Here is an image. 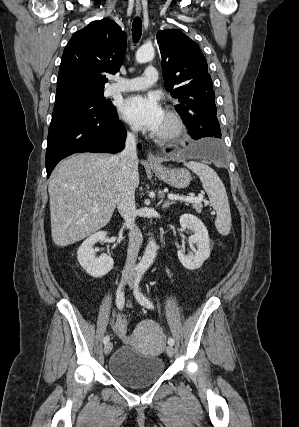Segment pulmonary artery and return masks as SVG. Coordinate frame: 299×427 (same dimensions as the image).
<instances>
[{
	"label": "pulmonary artery",
	"mask_w": 299,
	"mask_h": 427,
	"mask_svg": "<svg viewBox=\"0 0 299 427\" xmlns=\"http://www.w3.org/2000/svg\"><path fill=\"white\" fill-rule=\"evenodd\" d=\"M158 78L157 69L149 65L145 68L143 75L134 78H115L116 82L111 87L112 93L138 91L149 88Z\"/></svg>",
	"instance_id": "1"
}]
</instances>
